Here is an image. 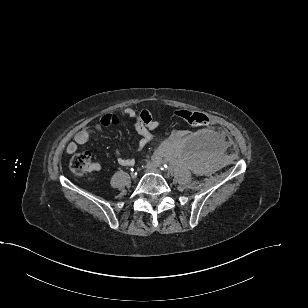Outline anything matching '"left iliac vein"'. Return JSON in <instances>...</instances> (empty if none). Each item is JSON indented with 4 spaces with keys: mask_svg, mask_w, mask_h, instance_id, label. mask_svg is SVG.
<instances>
[{
    "mask_svg": "<svg viewBox=\"0 0 308 308\" xmlns=\"http://www.w3.org/2000/svg\"><path fill=\"white\" fill-rule=\"evenodd\" d=\"M146 170L148 172H153V173H156V174H161L162 172L158 169L157 165L154 164V163H148L146 165Z\"/></svg>",
    "mask_w": 308,
    "mask_h": 308,
    "instance_id": "left-iliac-vein-1",
    "label": "left iliac vein"
}]
</instances>
